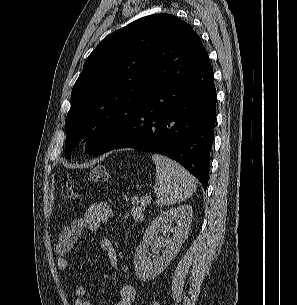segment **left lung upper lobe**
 I'll return each instance as SVG.
<instances>
[{"mask_svg":"<svg viewBox=\"0 0 297 305\" xmlns=\"http://www.w3.org/2000/svg\"><path fill=\"white\" fill-rule=\"evenodd\" d=\"M210 65L200 37L171 14L138 19L108 35L87 58L73 86L65 153L82 139L94 156L122 135L140 104L170 79Z\"/></svg>","mask_w":297,"mask_h":305,"instance_id":"left-lung-upper-lobe-1","label":"left lung upper lobe"}]
</instances>
